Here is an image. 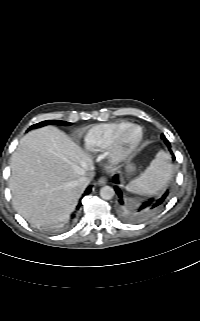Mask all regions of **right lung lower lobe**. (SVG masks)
Returning a JSON list of instances; mask_svg holds the SVG:
<instances>
[{"instance_id":"1","label":"right lung lower lobe","mask_w":200,"mask_h":321,"mask_svg":"<svg viewBox=\"0 0 200 321\" xmlns=\"http://www.w3.org/2000/svg\"><path fill=\"white\" fill-rule=\"evenodd\" d=\"M91 190H92V188H91V186H89L87 189H86V191H85V193L84 194H88V193H90L91 192ZM81 206V202L78 204V206H77V210L79 209V207ZM75 216V214H73L72 215V217H74Z\"/></svg>"}]
</instances>
